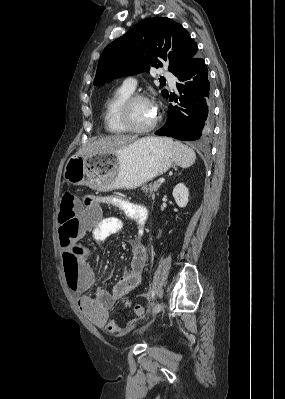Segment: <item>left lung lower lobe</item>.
Here are the masks:
<instances>
[{"label": "left lung lower lobe", "mask_w": 285, "mask_h": 399, "mask_svg": "<svg viewBox=\"0 0 285 399\" xmlns=\"http://www.w3.org/2000/svg\"><path fill=\"white\" fill-rule=\"evenodd\" d=\"M174 75L180 94L174 100L179 107L170 104L167 122L155 134L182 141L205 140L212 131V91L205 61L196 54Z\"/></svg>", "instance_id": "0a47b994"}]
</instances>
